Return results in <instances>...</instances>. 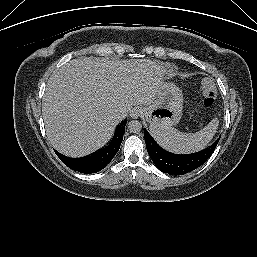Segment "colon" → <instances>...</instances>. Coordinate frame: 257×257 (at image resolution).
<instances>
[{
	"label": "colon",
	"instance_id": "colon-1",
	"mask_svg": "<svg viewBox=\"0 0 257 257\" xmlns=\"http://www.w3.org/2000/svg\"><path fill=\"white\" fill-rule=\"evenodd\" d=\"M200 85L202 93V105L205 107H210L213 105L217 96L216 86L211 79L206 77L201 79Z\"/></svg>",
	"mask_w": 257,
	"mask_h": 257
}]
</instances>
